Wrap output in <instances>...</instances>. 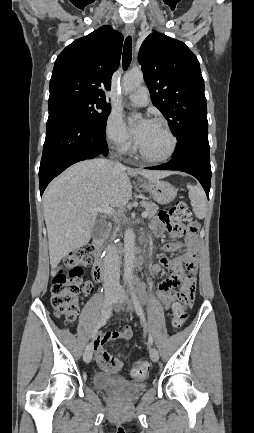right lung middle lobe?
Here are the masks:
<instances>
[{"instance_id":"1","label":"right lung middle lobe","mask_w":254,"mask_h":433,"mask_svg":"<svg viewBox=\"0 0 254 433\" xmlns=\"http://www.w3.org/2000/svg\"><path fill=\"white\" fill-rule=\"evenodd\" d=\"M50 111H64L97 127L106 128L111 107L103 100L70 98L48 105Z\"/></svg>"}]
</instances>
